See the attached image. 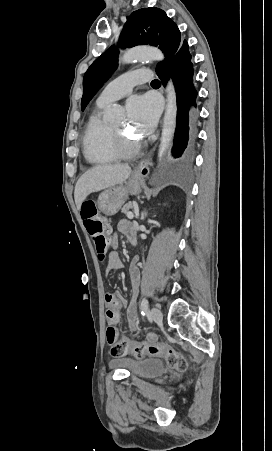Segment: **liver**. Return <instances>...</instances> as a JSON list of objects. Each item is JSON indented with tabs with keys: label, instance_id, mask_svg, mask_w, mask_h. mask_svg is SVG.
<instances>
[{
	"label": "liver",
	"instance_id": "obj_1",
	"mask_svg": "<svg viewBox=\"0 0 272 451\" xmlns=\"http://www.w3.org/2000/svg\"><path fill=\"white\" fill-rule=\"evenodd\" d=\"M131 168L128 164H105V166H93L79 178L74 192V200L77 210H81V204L92 192H100L105 188H112L129 178Z\"/></svg>",
	"mask_w": 272,
	"mask_h": 451
}]
</instances>
